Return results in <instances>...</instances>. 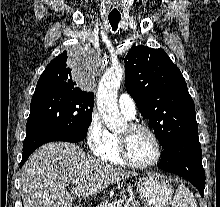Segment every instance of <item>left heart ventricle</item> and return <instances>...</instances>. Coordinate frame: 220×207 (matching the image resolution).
<instances>
[{"mask_svg":"<svg viewBox=\"0 0 220 207\" xmlns=\"http://www.w3.org/2000/svg\"><path fill=\"white\" fill-rule=\"evenodd\" d=\"M119 135L127 139L132 159L138 163H149L155 159L156 147L151 136L144 130H129L126 126Z\"/></svg>","mask_w":220,"mask_h":207,"instance_id":"1","label":"left heart ventricle"}]
</instances>
